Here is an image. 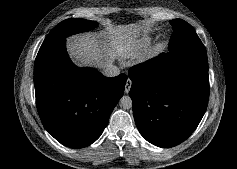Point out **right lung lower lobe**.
Masks as SVG:
<instances>
[{"mask_svg":"<svg viewBox=\"0 0 237 169\" xmlns=\"http://www.w3.org/2000/svg\"><path fill=\"white\" fill-rule=\"evenodd\" d=\"M66 38L44 41L35 60L36 104L46 130L61 144L82 148L96 141L123 96L125 74L108 78L78 68L66 52Z\"/></svg>","mask_w":237,"mask_h":169,"instance_id":"obj_1","label":"right lung lower lobe"}]
</instances>
